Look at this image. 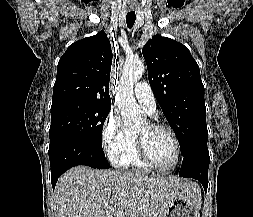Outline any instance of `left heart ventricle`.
<instances>
[{"label": "left heart ventricle", "mask_w": 253, "mask_h": 217, "mask_svg": "<svg viewBox=\"0 0 253 217\" xmlns=\"http://www.w3.org/2000/svg\"><path fill=\"white\" fill-rule=\"evenodd\" d=\"M137 133L144 138L147 152L156 165L168 168L173 164L175 146L168 131L153 129L147 122L137 130Z\"/></svg>", "instance_id": "1"}]
</instances>
